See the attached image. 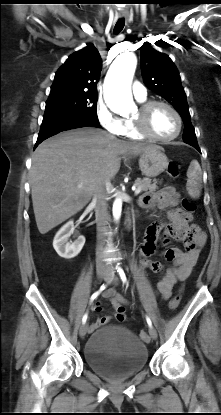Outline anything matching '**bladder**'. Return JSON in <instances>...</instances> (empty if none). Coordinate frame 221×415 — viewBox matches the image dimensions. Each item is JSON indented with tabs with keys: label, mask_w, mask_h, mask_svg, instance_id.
Wrapping results in <instances>:
<instances>
[{
	"label": "bladder",
	"mask_w": 221,
	"mask_h": 415,
	"mask_svg": "<svg viewBox=\"0 0 221 415\" xmlns=\"http://www.w3.org/2000/svg\"><path fill=\"white\" fill-rule=\"evenodd\" d=\"M84 358L99 375L120 379L132 376L146 366L148 349L130 330L110 325L90 336L84 348Z\"/></svg>",
	"instance_id": "bladder-1"
}]
</instances>
